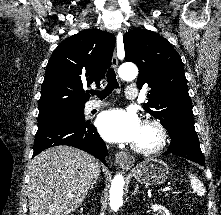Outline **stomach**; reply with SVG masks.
Here are the masks:
<instances>
[{
  "label": "stomach",
  "instance_id": "stomach-1",
  "mask_svg": "<svg viewBox=\"0 0 221 215\" xmlns=\"http://www.w3.org/2000/svg\"><path fill=\"white\" fill-rule=\"evenodd\" d=\"M137 182L145 185H159L165 182L169 174L168 165L159 159H148L134 169Z\"/></svg>",
  "mask_w": 221,
  "mask_h": 215
}]
</instances>
